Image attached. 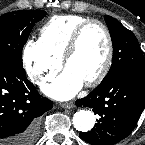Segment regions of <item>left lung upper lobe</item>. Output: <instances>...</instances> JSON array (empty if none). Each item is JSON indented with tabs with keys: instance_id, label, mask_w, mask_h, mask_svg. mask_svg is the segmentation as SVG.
Wrapping results in <instances>:
<instances>
[{
	"instance_id": "obj_1",
	"label": "left lung upper lobe",
	"mask_w": 145,
	"mask_h": 145,
	"mask_svg": "<svg viewBox=\"0 0 145 145\" xmlns=\"http://www.w3.org/2000/svg\"><path fill=\"white\" fill-rule=\"evenodd\" d=\"M105 21L112 39L113 61L108 74L100 84L124 74L145 77V59L135 35L111 16L106 15Z\"/></svg>"
}]
</instances>
